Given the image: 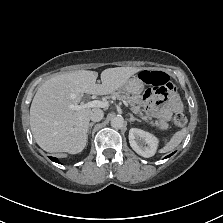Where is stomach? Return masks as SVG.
Masks as SVG:
<instances>
[{"label": "stomach", "mask_w": 223, "mask_h": 223, "mask_svg": "<svg viewBox=\"0 0 223 223\" xmlns=\"http://www.w3.org/2000/svg\"><path fill=\"white\" fill-rule=\"evenodd\" d=\"M144 80L145 79H141L138 77V75H136L133 78L129 79L122 88L127 87L128 90H131L133 93L138 92L140 94L143 91L144 86H145Z\"/></svg>", "instance_id": "1"}]
</instances>
